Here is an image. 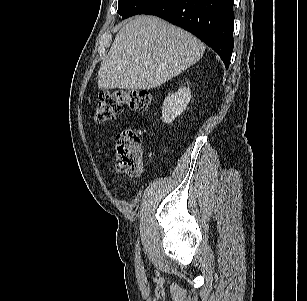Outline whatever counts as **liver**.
Segmentation results:
<instances>
[{"label": "liver", "mask_w": 307, "mask_h": 301, "mask_svg": "<svg viewBox=\"0 0 307 301\" xmlns=\"http://www.w3.org/2000/svg\"><path fill=\"white\" fill-rule=\"evenodd\" d=\"M205 45L154 16H137L117 33L98 71L99 89H151L200 60Z\"/></svg>", "instance_id": "1"}]
</instances>
